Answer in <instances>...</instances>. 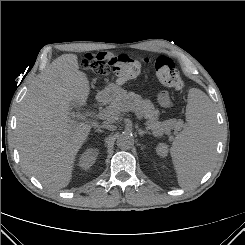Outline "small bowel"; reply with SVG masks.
<instances>
[{"label":"small bowel","mask_w":245,"mask_h":245,"mask_svg":"<svg viewBox=\"0 0 245 245\" xmlns=\"http://www.w3.org/2000/svg\"><path fill=\"white\" fill-rule=\"evenodd\" d=\"M105 57H115L117 54L115 53H102ZM158 101L163 107H169L171 102L169 96L166 92H162L158 96Z\"/></svg>","instance_id":"obj_1"}]
</instances>
